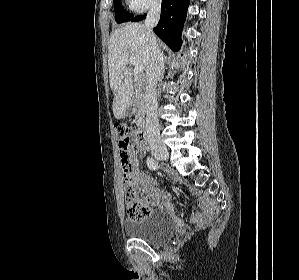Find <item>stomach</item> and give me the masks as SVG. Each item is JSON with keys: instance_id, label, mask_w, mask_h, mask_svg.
<instances>
[{"instance_id": "1", "label": "stomach", "mask_w": 299, "mask_h": 280, "mask_svg": "<svg viewBox=\"0 0 299 280\" xmlns=\"http://www.w3.org/2000/svg\"><path fill=\"white\" fill-rule=\"evenodd\" d=\"M125 113H126V115H131V114L133 113V111H132V109L129 107Z\"/></svg>"}]
</instances>
